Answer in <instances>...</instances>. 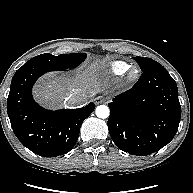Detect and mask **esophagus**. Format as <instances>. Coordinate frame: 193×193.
I'll return each mask as SVG.
<instances>
[{"instance_id": "1", "label": "esophagus", "mask_w": 193, "mask_h": 193, "mask_svg": "<svg viewBox=\"0 0 193 193\" xmlns=\"http://www.w3.org/2000/svg\"><path fill=\"white\" fill-rule=\"evenodd\" d=\"M103 102H104V98H103L102 96H97V97L94 99V103H95L96 105L101 104V103H103Z\"/></svg>"}]
</instances>
